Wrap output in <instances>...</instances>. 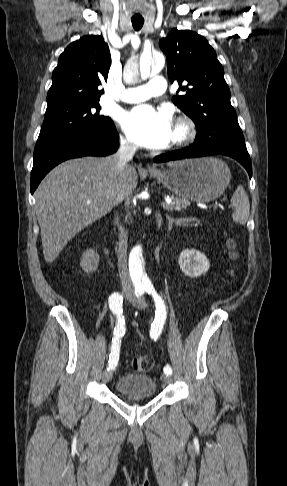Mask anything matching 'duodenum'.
<instances>
[{
    "instance_id": "obj_1",
    "label": "duodenum",
    "mask_w": 287,
    "mask_h": 486,
    "mask_svg": "<svg viewBox=\"0 0 287 486\" xmlns=\"http://www.w3.org/2000/svg\"><path fill=\"white\" fill-rule=\"evenodd\" d=\"M162 226V219L161 218H158L157 219V228L160 229Z\"/></svg>"
}]
</instances>
